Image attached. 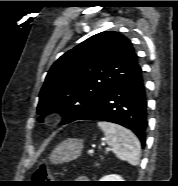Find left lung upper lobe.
<instances>
[{"label":"left lung upper lobe","instance_id":"1","mask_svg":"<svg viewBox=\"0 0 178 186\" xmlns=\"http://www.w3.org/2000/svg\"><path fill=\"white\" fill-rule=\"evenodd\" d=\"M138 67V56L125 36L105 31L88 38L48 71L39 95L38 121L53 112L64 116L61 124L73 121Z\"/></svg>","mask_w":178,"mask_h":186}]
</instances>
